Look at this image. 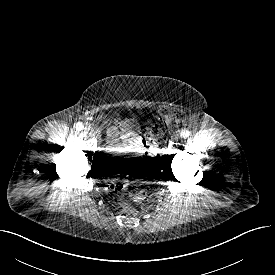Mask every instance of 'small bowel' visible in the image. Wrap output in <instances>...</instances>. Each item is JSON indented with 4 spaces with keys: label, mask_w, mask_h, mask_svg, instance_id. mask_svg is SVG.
I'll list each match as a JSON object with an SVG mask.
<instances>
[{
    "label": "small bowel",
    "mask_w": 275,
    "mask_h": 275,
    "mask_svg": "<svg viewBox=\"0 0 275 275\" xmlns=\"http://www.w3.org/2000/svg\"><path fill=\"white\" fill-rule=\"evenodd\" d=\"M138 131L139 127L133 121H118L107 130L108 142L114 145L117 138H120L129 143H136L139 141Z\"/></svg>",
    "instance_id": "obj_1"
}]
</instances>
